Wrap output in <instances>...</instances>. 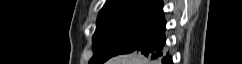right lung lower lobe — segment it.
Wrapping results in <instances>:
<instances>
[{
	"label": "right lung lower lobe",
	"mask_w": 242,
	"mask_h": 64,
	"mask_svg": "<svg viewBox=\"0 0 242 64\" xmlns=\"http://www.w3.org/2000/svg\"><path fill=\"white\" fill-rule=\"evenodd\" d=\"M166 22L148 40L140 45L137 50L151 59H160L162 64H173L172 57L165 54V31Z\"/></svg>",
	"instance_id": "1"
}]
</instances>
